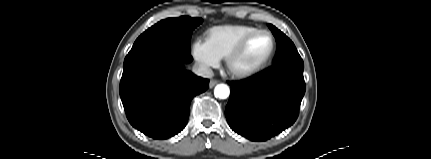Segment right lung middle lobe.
Returning <instances> with one entry per match:
<instances>
[{"instance_id": "right-lung-middle-lobe-1", "label": "right lung middle lobe", "mask_w": 431, "mask_h": 159, "mask_svg": "<svg viewBox=\"0 0 431 159\" xmlns=\"http://www.w3.org/2000/svg\"><path fill=\"white\" fill-rule=\"evenodd\" d=\"M202 21L201 18L188 16L161 20L143 32L134 42L132 48L151 42H168L190 51L192 32Z\"/></svg>"}]
</instances>
